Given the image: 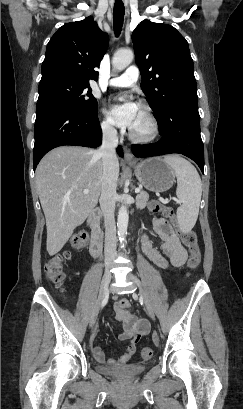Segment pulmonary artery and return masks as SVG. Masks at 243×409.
Wrapping results in <instances>:
<instances>
[{"label": "pulmonary artery", "mask_w": 243, "mask_h": 409, "mask_svg": "<svg viewBox=\"0 0 243 409\" xmlns=\"http://www.w3.org/2000/svg\"><path fill=\"white\" fill-rule=\"evenodd\" d=\"M138 77H139L138 68L130 66L122 75L112 78L108 82V85L111 87H129L135 82H137Z\"/></svg>", "instance_id": "pulmonary-artery-1"}]
</instances>
